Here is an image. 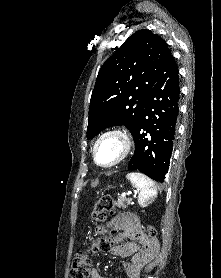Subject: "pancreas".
Returning a JSON list of instances; mask_svg holds the SVG:
<instances>
[{
    "label": "pancreas",
    "instance_id": "cf45deb5",
    "mask_svg": "<svg viewBox=\"0 0 221 278\" xmlns=\"http://www.w3.org/2000/svg\"><path fill=\"white\" fill-rule=\"evenodd\" d=\"M131 203L130 200L120 197L118 201L115 203V206L118 208L126 209L127 206Z\"/></svg>",
    "mask_w": 221,
    "mask_h": 278
}]
</instances>
